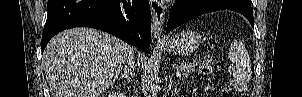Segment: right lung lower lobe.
I'll return each mask as SVG.
<instances>
[{
  "mask_svg": "<svg viewBox=\"0 0 302 97\" xmlns=\"http://www.w3.org/2000/svg\"><path fill=\"white\" fill-rule=\"evenodd\" d=\"M93 27L148 52L151 12L148 0H48L41 51L58 32Z\"/></svg>",
  "mask_w": 302,
  "mask_h": 97,
  "instance_id": "obj_1",
  "label": "right lung lower lobe"
}]
</instances>
